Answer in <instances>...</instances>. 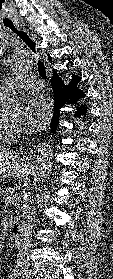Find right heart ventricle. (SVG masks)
Listing matches in <instances>:
<instances>
[{
  "instance_id": "right-heart-ventricle-1",
  "label": "right heart ventricle",
  "mask_w": 113,
  "mask_h": 279,
  "mask_svg": "<svg viewBox=\"0 0 113 279\" xmlns=\"http://www.w3.org/2000/svg\"><path fill=\"white\" fill-rule=\"evenodd\" d=\"M7 98L8 94L0 90V147L13 142L16 133L15 128L8 124L4 113Z\"/></svg>"
}]
</instances>
